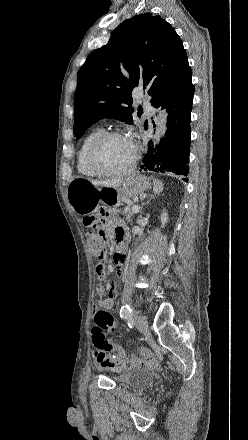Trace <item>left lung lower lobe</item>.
I'll return each mask as SVG.
<instances>
[{"instance_id": "left-lung-lower-lobe-1", "label": "left lung lower lobe", "mask_w": 248, "mask_h": 440, "mask_svg": "<svg viewBox=\"0 0 248 440\" xmlns=\"http://www.w3.org/2000/svg\"><path fill=\"white\" fill-rule=\"evenodd\" d=\"M194 85L189 80L169 91L153 107L163 106L169 112L165 138L155 149L149 150L143 159L145 171L173 172L187 176L191 139V109ZM183 180L187 181L186 178Z\"/></svg>"}]
</instances>
